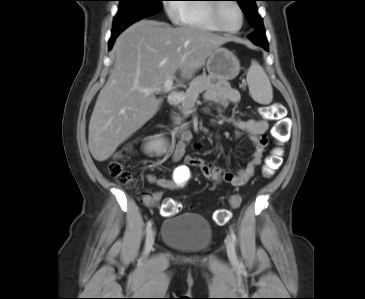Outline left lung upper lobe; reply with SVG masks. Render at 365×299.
I'll list each match as a JSON object with an SVG mask.
<instances>
[{"mask_svg":"<svg viewBox=\"0 0 365 299\" xmlns=\"http://www.w3.org/2000/svg\"><path fill=\"white\" fill-rule=\"evenodd\" d=\"M236 1L239 3L250 25L255 30L263 28L262 19L258 15L257 8L255 6V1L257 0H236Z\"/></svg>","mask_w":365,"mask_h":299,"instance_id":"5c2ea615","label":"left lung upper lobe"}]
</instances>
